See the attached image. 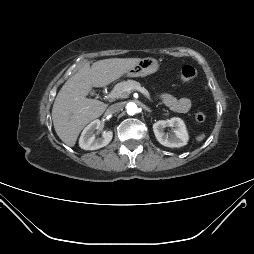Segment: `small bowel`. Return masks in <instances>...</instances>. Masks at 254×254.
Wrapping results in <instances>:
<instances>
[{"mask_svg":"<svg viewBox=\"0 0 254 254\" xmlns=\"http://www.w3.org/2000/svg\"><path fill=\"white\" fill-rule=\"evenodd\" d=\"M159 97L173 111L184 113L191 108V100L188 97L176 98L169 93H161Z\"/></svg>","mask_w":254,"mask_h":254,"instance_id":"1","label":"small bowel"}]
</instances>
